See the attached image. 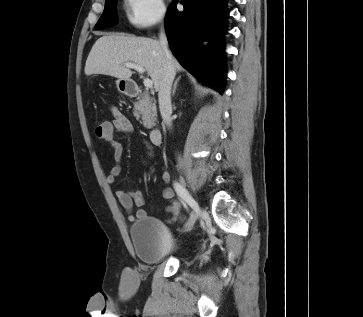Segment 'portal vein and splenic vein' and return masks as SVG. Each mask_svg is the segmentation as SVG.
<instances>
[{
  "instance_id": "portal-vein-and-splenic-vein-1",
  "label": "portal vein and splenic vein",
  "mask_w": 363,
  "mask_h": 317,
  "mask_svg": "<svg viewBox=\"0 0 363 317\" xmlns=\"http://www.w3.org/2000/svg\"><path fill=\"white\" fill-rule=\"evenodd\" d=\"M124 66L130 69H135L140 74H143L145 71L144 67L135 63H125ZM143 83L146 88H152L153 86V82L149 78H145Z\"/></svg>"
}]
</instances>
